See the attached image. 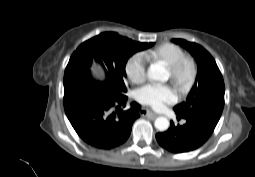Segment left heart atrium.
Wrapping results in <instances>:
<instances>
[{
    "label": "left heart atrium",
    "mask_w": 255,
    "mask_h": 177,
    "mask_svg": "<svg viewBox=\"0 0 255 177\" xmlns=\"http://www.w3.org/2000/svg\"><path fill=\"white\" fill-rule=\"evenodd\" d=\"M137 100L155 109H162L177 100L175 90L169 86L147 84L137 91Z\"/></svg>",
    "instance_id": "1"
}]
</instances>
